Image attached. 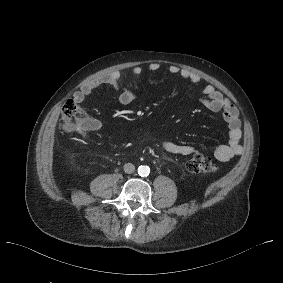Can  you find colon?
I'll use <instances>...</instances> for the list:
<instances>
[{
  "mask_svg": "<svg viewBox=\"0 0 283 283\" xmlns=\"http://www.w3.org/2000/svg\"><path fill=\"white\" fill-rule=\"evenodd\" d=\"M89 125V117L73 100H68L62 109L61 127L65 132L83 134ZM187 169L192 173L208 174L217 170L216 163L207 156L196 154L191 157Z\"/></svg>",
  "mask_w": 283,
  "mask_h": 283,
  "instance_id": "1",
  "label": "colon"
}]
</instances>
